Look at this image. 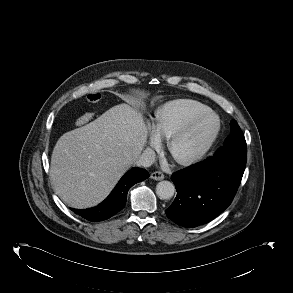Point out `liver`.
<instances>
[{
	"mask_svg": "<svg viewBox=\"0 0 293 293\" xmlns=\"http://www.w3.org/2000/svg\"><path fill=\"white\" fill-rule=\"evenodd\" d=\"M147 134L142 114L128 104L63 134L51 156L56 194L73 208L99 204L140 156Z\"/></svg>",
	"mask_w": 293,
	"mask_h": 293,
	"instance_id": "obj_1",
	"label": "liver"
}]
</instances>
